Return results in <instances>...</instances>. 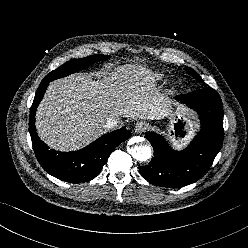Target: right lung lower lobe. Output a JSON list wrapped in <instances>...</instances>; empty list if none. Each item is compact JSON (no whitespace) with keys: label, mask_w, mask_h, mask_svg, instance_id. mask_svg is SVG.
Returning a JSON list of instances; mask_svg holds the SVG:
<instances>
[{"label":"right lung lower lobe","mask_w":248,"mask_h":248,"mask_svg":"<svg viewBox=\"0 0 248 248\" xmlns=\"http://www.w3.org/2000/svg\"><path fill=\"white\" fill-rule=\"evenodd\" d=\"M50 80L43 79L30 110L29 132L32 145L42 168L50 175L71 183H81L95 178L111 152L131 137L125 127L101 136L85 148L74 152L50 150L38 137L35 128V112Z\"/></svg>","instance_id":"1"}]
</instances>
